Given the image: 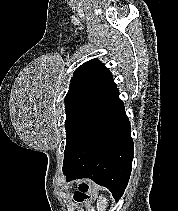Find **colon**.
<instances>
[{
  "label": "colon",
  "mask_w": 178,
  "mask_h": 211,
  "mask_svg": "<svg viewBox=\"0 0 178 211\" xmlns=\"http://www.w3.org/2000/svg\"><path fill=\"white\" fill-rule=\"evenodd\" d=\"M95 199V193L90 183H82L78 186L74 194V200L78 204H90ZM89 211H92L89 209Z\"/></svg>",
  "instance_id": "1"
}]
</instances>
